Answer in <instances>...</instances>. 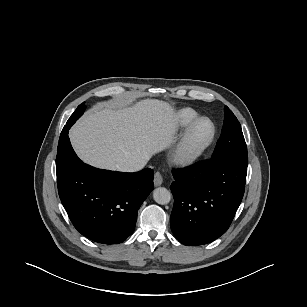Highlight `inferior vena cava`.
<instances>
[{"instance_id":"602c4592","label":"inferior vena cava","mask_w":307,"mask_h":307,"mask_svg":"<svg viewBox=\"0 0 307 307\" xmlns=\"http://www.w3.org/2000/svg\"><path fill=\"white\" fill-rule=\"evenodd\" d=\"M146 165V161H140L138 163H130L120 168L123 172H135L141 170Z\"/></svg>"}]
</instances>
